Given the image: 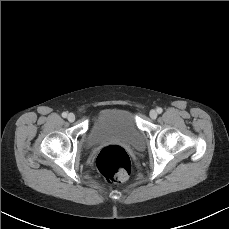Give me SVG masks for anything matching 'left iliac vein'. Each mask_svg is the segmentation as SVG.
Wrapping results in <instances>:
<instances>
[{"label": "left iliac vein", "mask_w": 229, "mask_h": 229, "mask_svg": "<svg viewBox=\"0 0 229 229\" xmlns=\"http://www.w3.org/2000/svg\"><path fill=\"white\" fill-rule=\"evenodd\" d=\"M149 116L152 118V119H155L157 117V112L155 110H151L150 113H149Z\"/></svg>", "instance_id": "4c4485c4"}]
</instances>
